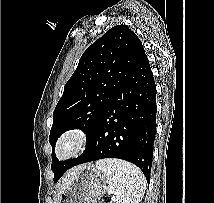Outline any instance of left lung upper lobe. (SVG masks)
Listing matches in <instances>:
<instances>
[{"label": "left lung upper lobe", "instance_id": "left-lung-upper-lobe-1", "mask_svg": "<svg viewBox=\"0 0 214 203\" xmlns=\"http://www.w3.org/2000/svg\"><path fill=\"white\" fill-rule=\"evenodd\" d=\"M144 55L142 42L126 25L112 27L86 49L53 112V150L68 130L82 129L88 141L100 115ZM73 160L59 161L52 154L55 182Z\"/></svg>", "mask_w": 214, "mask_h": 203}]
</instances>
